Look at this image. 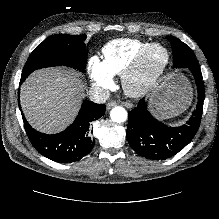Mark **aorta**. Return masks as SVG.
<instances>
[{"instance_id": "1", "label": "aorta", "mask_w": 219, "mask_h": 219, "mask_svg": "<svg viewBox=\"0 0 219 219\" xmlns=\"http://www.w3.org/2000/svg\"><path fill=\"white\" fill-rule=\"evenodd\" d=\"M127 115V111L121 106L114 107L110 112L111 120L116 123L125 122L127 120Z\"/></svg>"}]
</instances>
